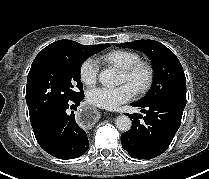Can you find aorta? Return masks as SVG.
Returning a JSON list of instances; mask_svg holds the SVG:
<instances>
[{
  "mask_svg": "<svg viewBox=\"0 0 209 179\" xmlns=\"http://www.w3.org/2000/svg\"><path fill=\"white\" fill-rule=\"evenodd\" d=\"M99 81L105 86H114L119 84V77L114 69H105L100 72ZM115 125L121 131H128L132 122L128 116L121 115L116 118Z\"/></svg>",
  "mask_w": 209,
  "mask_h": 179,
  "instance_id": "1",
  "label": "aorta"
}]
</instances>
